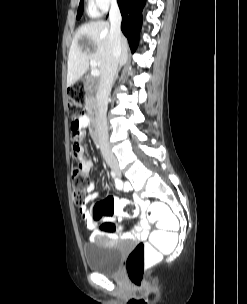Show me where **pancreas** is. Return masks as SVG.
<instances>
[{
    "label": "pancreas",
    "mask_w": 247,
    "mask_h": 304,
    "mask_svg": "<svg viewBox=\"0 0 247 304\" xmlns=\"http://www.w3.org/2000/svg\"><path fill=\"white\" fill-rule=\"evenodd\" d=\"M87 104H90L91 106H94V105H95V103H94V98H93L92 95H86V97H85V108H86V105H87ZM86 110H87L88 113H89V109L86 108Z\"/></svg>",
    "instance_id": "cf45deb5"
}]
</instances>
